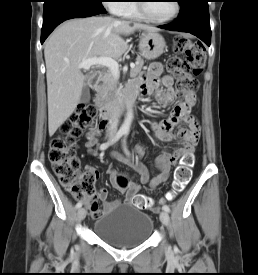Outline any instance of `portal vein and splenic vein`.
<instances>
[{
    "mask_svg": "<svg viewBox=\"0 0 258 275\" xmlns=\"http://www.w3.org/2000/svg\"><path fill=\"white\" fill-rule=\"evenodd\" d=\"M93 65L106 66L110 69L111 73L114 76L117 77L119 75V65L114 59H112L110 57H94V58H89V59L83 60L79 64V68L84 69V70H89L90 67ZM130 67L134 68L135 64L131 63Z\"/></svg>",
    "mask_w": 258,
    "mask_h": 275,
    "instance_id": "1",
    "label": "portal vein and splenic vein"
}]
</instances>
